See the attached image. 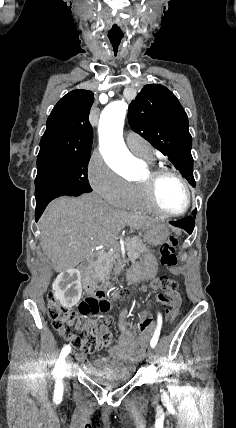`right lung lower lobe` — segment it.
I'll list each match as a JSON object with an SVG mask.
<instances>
[{
    "mask_svg": "<svg viewBox=\"0 0 236 428\" xmlns=\"http://www.w3.org/2000/svg\"><path fill=\"white\" fill-rule=\"evenodd\" d=\"M81 194H82V193H74V194H71V195H69V196H79V195H81ZM55 198H56V197H52V198H49V199L44 200V201H42V202L36 203V213H35L36 221L40 218V216L42 215V213H43V211L45 210V208H46V206L48 205V203H49L51 200L55 199Z\"/></svg>",
    "mask_w": 236,
    "mask_h": 428,
    "instance_id": "1",
    "label": "right lung lower lobe"
}]
</instances>
